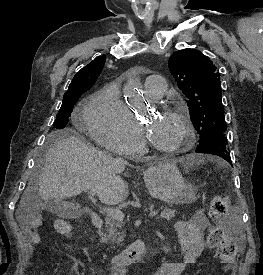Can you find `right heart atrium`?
<instances>
[{
	"label": "right heart atrium",
	"instance_id": "right-heart-atrium-1",
	"mask_svg": "<svg viewBox=\"0 0 263 275\" xmlns=\"http://www.w3.org/2000/svg\"><path fill=\"white\" fill-rule=\"evenodd\" d=\"M84 124L99 145L113 152L132 153L142 144L141 128L113 86L92 96L84 111Z\"/></svg>",
	"mask_w": 263,
	"mask_h": 275
}]
</instances>
